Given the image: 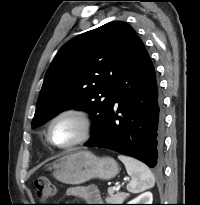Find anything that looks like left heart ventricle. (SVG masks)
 <instances>
[{"label":"left heart ventricle","mask_w":200,"mask_h":205,"mask_svg":"<svg viewBox=\"0 0 200 205\" xmlns=\"http://www.w3.org/2000/svg\"><path fill=\"white\" fill-rule=\"evenodd\" d=\"M79 125L71 118L59 120L52 129V138L57 144H67L79 135Z\"/></svg>","instance_id":"b2bd125f"}]
</instances>
